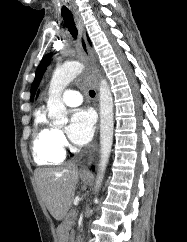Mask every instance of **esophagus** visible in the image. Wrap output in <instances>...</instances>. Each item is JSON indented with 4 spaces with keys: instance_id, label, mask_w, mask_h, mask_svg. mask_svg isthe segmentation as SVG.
I'll use <instances>...</instances> for the list:
<instances>
[{
    "instance_id": "esophagus-1",
    "label": "esophagus",
    "mask_w": 187,
    "mask_h": 242,
    "mask_svg": "<svg viewBox=\"0 0 187 242\" xmlns=\"http://www.w3.org/2000/svg\"><path fill=\"white\" fill-rule=\"evenodd\" d=\"M74 20H75V23H76V26H77L78 32H79V43H80L84 61L87 63V65L89 66L90 70L92 71V73L94 75L95 86H96V89L98 90V80H97L98 63L95 59V56L93 54V51H92L89 43L87 41L85 26H84L83 19L79 12H74ZM94 145H95V142L93 144V147H94ZM80 171L88 172L87 164L83 165L81 167Z\"/></svg>"
}]
</instances>
